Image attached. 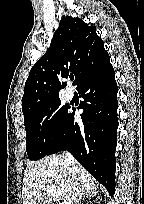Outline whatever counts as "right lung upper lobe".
<instances>
[{"mask_svg":"<svg viewBox=\"0 0 144 204\" xmlns=\"http://www.w3.org/2000/svg\"><path fill=\"white\" fill-rule=\"evenodd\" d=\"M109 59L94 26L79 18L62 17L50 47L31 68L26 80L22 97L24 117L59 98V91L64 87L60 78L74 74V84L79 86L88 74Z\"/></svg>","mask_w":144,"mask_h":204,"instance_id":"right-lung-upper-lobe-1","label":"right lung upper lobe"}]
</instances>
